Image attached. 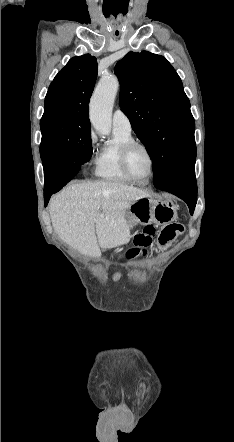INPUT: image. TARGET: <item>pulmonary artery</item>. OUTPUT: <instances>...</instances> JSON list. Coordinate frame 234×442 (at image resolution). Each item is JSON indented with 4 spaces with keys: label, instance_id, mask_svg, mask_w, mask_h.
I'll return each mask as SVG.
<instances>
[{
    "label": "pulmonary artery",
    "instance_id": "1",
    "mask_svg": "<svg viewBox=\"0 0 234 442\" xmlns=\"http://www.w3.org/2000/svg\"><path fill=\"white\" fill-rule=\"evenodd\" d=\"M112 125L114 129L131 133L132 127L130 120L121 109H116L114 111L112 117Z\"/></svg>",
    "mask_w": 234,
    "mask_h": 442
}]
</instances>
